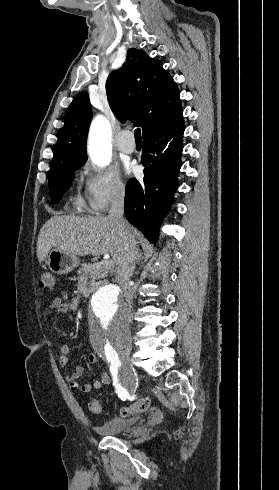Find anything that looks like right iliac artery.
Listing matches in <instances>:
<instances>
[{"label": "right iliac artery", "mask_w": 279, "mask_h": 490, "mask_svg": "<svg viewBox=\"0 0 279 490\" xmlns=\"http://www.w3.org/2000/svg\"><path fill=\"white\" fill-rule=\"evenodd\" d=\"M106 359L108 363L110 364V370L111 372L117 373V368L120 366V359H119V354L118 352H107L106 354ZM117 397H122V402H129V388H128V380L127 378H118L117 380Z\"/></svg>", "instance_id": "82829eb1"}]
</instances>
